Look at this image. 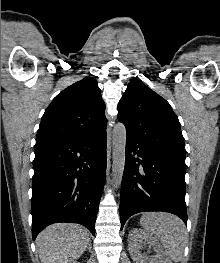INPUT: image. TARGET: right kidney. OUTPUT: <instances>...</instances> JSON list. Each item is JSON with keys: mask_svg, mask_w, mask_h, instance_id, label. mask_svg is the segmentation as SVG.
<instances>
[{"mask_svg": "<svg viewBox=\"0 0 220 263\" xmlns=\"http://www.w3.org/2000/svg\"><path fill=\"white\" fill-rule=\"evenodd\" d=\"M70 263H79V262H77V261H71Z\"/></svg>", "mask_w": 220, "mask_h": 263, "instance_id": "1", "label": "right kidney"}]
</instances>
